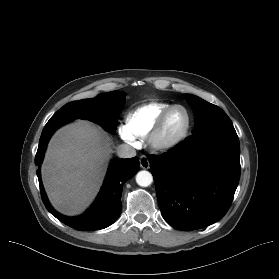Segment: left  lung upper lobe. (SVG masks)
Wrapping results in <instances>:
<instances>
[{
  "label": "left lung upper lobe",
  "mask_w": 279,
  "mask_h": 279,
  "mask_svg": "<svg viewBox=\"0 0 279 279\" xmlns=\"http://www.w3.org/2000/svg\"><path fill=\"white\" fill-rule=\"evenodd\" d=\"M186 100L195 116L193 133L214 128H234L229 117L218 106L193 95H188Z\"/></svg>",
  "instance_id": "1"
}]
</instances>
